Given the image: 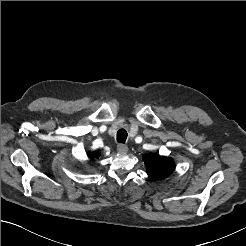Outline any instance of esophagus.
Here are the masks:
<instances>
[{
    "instance_id": "1",
    "label": "esophagus",
    "mask_w": 246,
    "mask_h": 246,
    "mask_svg": "<svg viewBox=\"0 0 246 246\" xmlns=\"http://www.w3.org/2000/svg\"><path fill=\"white\" fill-rule=\"evenodd\" d=\"M117 151L121 154H126L128 152V147L124 144H118Z\"/></svg>"
}]
</instances>
